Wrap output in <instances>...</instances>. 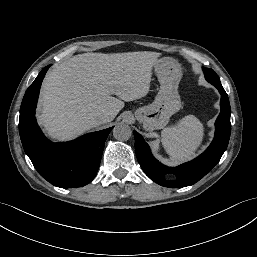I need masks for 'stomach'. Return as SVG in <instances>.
I'll return each instance as SVG.
<instances>
[{
  "mask_svg": "<svg viewBox=\"0 0 257 257\" xmlns=\"http://www.w3.org/2000/svg\"><path fill=\"white\" fill-rule=\"evenodd\" d=\"M154 69L160 83V89L154 102L136 110V119L143 123L147 131L164 128L169 118L182 106L178 93L181 79L179 64L171 58L159 59Z\"/></svg>",
  "mask_w": 257,
  "mask_h": 257,
  "instance_id": "1",
  "label": "stomach"
}]
</instances>
